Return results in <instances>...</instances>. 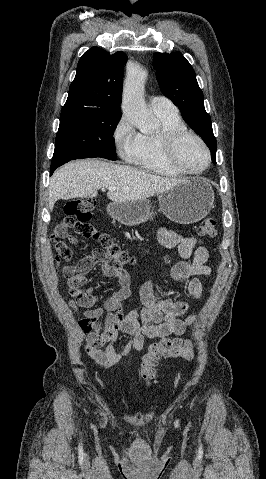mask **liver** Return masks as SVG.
Instances as JSON below:
<instances>
[{
  "label": "liver",
  "instance_id": "6515ba94",
  "mask_svg": "<svg viewBox=\"0 0 266 479\" xmlns=\"http://www.w3.org/2000/svg\"><path fill=\"white\" fill-rule=\"evenodd\" d=\"M186 181L153 175L137 168L108 163L100 159L69 162L55 171L48 188V204L52 210L59 199L91 197L99 189L109 190L107 197L114 202L147 199Z\"/></svg>",
  "mask_w": 266,
  "mask_h": 479
}]
</instances>
